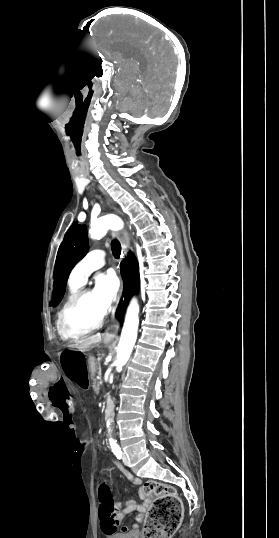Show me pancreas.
Returning <instances> with one entry per match:
<instances>
[{"label": "pancreas", "mask_w": 279, "mask_h": 538, "mask_svg": "<svg viewBox=\"0 0 279 538\" xmlns=\"http://www.w3.org/2000/svg\"><path fill=\"white\" fill-rule=\"evenodd\" d=\"M99 386H100V384H98V382H96V380H95L93 388H94V392H96V394H99Z\"/></svg>", "instance_id": "obj_1"}]
</instances>
